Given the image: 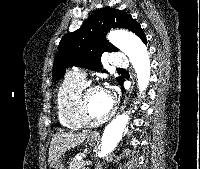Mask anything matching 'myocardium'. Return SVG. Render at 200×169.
I'll return each mask as SVG.
<instances>
[{"label": "myocardium", "instance_id": "myocardium-1", "mask_svg": "<svg viewBox=\"0 0 200 169\" xmlns=\"http://www.w3.org/2000/svg\"><path fill=\"white\" fill-rule=\"evenodd\" d=\"M94 91H102V88L99 86H85L79 92L77 99H76V110H77L78 119H79L80 123L82 124V126L86 127V128H95V127H98V126L104 124L112 117V115L114 114V111H115V108L112 105V107L110 108V111L107 113V115L105 117H103L97 121L90 120V118L88 117V113H87L86 101H87L88 95Z\"/></svg>", "mask_w": 200, "mask_h": 169}]
</instances>
